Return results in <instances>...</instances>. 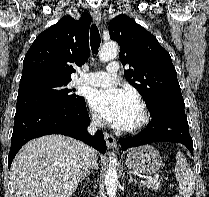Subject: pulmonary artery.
Here are the masks:
<instances>
[{
  "label": "pulmonary artery",
  "instance_id": "e3ab8cb5",
  "mask_svg": "<svg viewBox=\"0 0 209 197\" xmlns=\"http://www.w3.org/2000/svg\"><path fill=\"white\" fill-rule=\"evenodd\" d=\"M119 64L117 61L110 62L106 71H97L79 78V82L95 87H107L117 82Z\"/></svg>",
  "mask_w": 209,
  "mask_h": 197
}]
</instances>
